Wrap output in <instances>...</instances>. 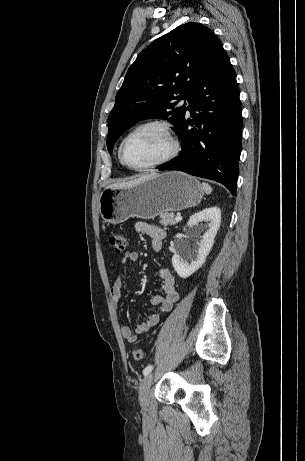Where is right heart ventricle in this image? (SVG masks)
Instances as JSON below:
<instances>
[{"label":"right heart ventricle","mask_w":305,"mask_h":461,"mask_svg":"<svg viewBox=\"0 0 305 461\" xmlns=\"http://www.w3.org/2000/svg\"><path fill=\"white\" fill-rule=\"evenodd\" d=\"M118 157L120 158V156H119V150H118Z\"/></svg>","instance_id":"obj_1"}]
</instances>
